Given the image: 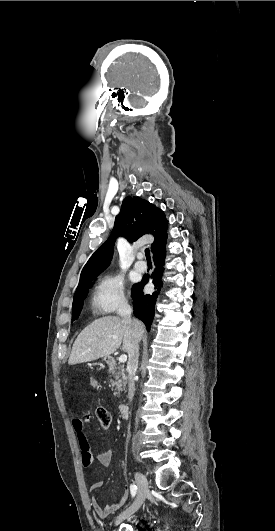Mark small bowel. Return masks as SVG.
I'll list each match as a JSON object with an SVG mask.
<instances>
[{"mask_svg":"<svg viewBox=\"0 0 275 531\" xmlns=\"http://www.w3.org/2000/svg\"><path fill=\"white\" fill-rule=\"evenodd\" d=\"M86 380L87 382L89 383L88 385V388L90 391L92 392H95L98 390L99 388V385L98 383L96 382L97 380V377L95 374L93 373H90L87 375L86 377ZM85 379L83 380L84 382L86 381ZM89 422V414L85 413V414H82L74 419H72V428L73 430L75 431V433L77 434V439H78V443H79V446L80 448L82 449L83 453H82V462L84 464V460H85V452H84V449H88L90 448V444H89V441H88V438L86 436V433H85V426L86 424ZM111 457H112V453L110 450H106L104 452H100V453H95L94 455H92L90 453V458L88 460V464L90 465L93 461H96L102 465H108L111 461ZM103 486V481L101 480H97L95 482H93L91 485H90V492H96L97 490H99L101 487ZM129 498V491H128V488H126L123 493L118 497V499L116 501H114L110 506H107V507H102L99 503V501L94 497L92 496L90 498V506L91 508L93 509V511L97 514V516L100 518V519H106L109 517V515L117 510H119L120 508H122L125 503L127 502Z\"/></svg>","mask_w":275,"mask_h":531,"instance_id":"c3829d8e","label":"small bowel"}]
</instances>
